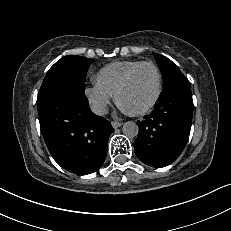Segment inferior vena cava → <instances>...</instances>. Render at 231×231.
I'll return each mask as SVG.
<instances>
[{
  "instance_id": "1",
  "label": "inferior vena cava",
  "mask_w": 231,
  "mask_h": 231,
  "mask_svg": "<svg viewBox=\"0 0 231 231\" xmlns=\"http://www.w3.org/2000/svg\"><path fill=\"white\" fill-rule=\"evenodd\" d=\"M91 110L96 115H105L107 114V108L103 104H92Z\"/></svg>"
}]
</instances>
